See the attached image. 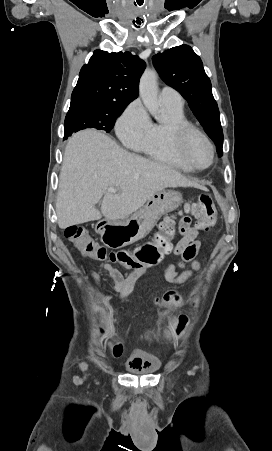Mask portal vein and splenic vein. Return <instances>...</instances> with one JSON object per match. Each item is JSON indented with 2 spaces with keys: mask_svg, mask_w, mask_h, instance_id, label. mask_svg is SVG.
<instances>
[{
  "mask_svg": "<svg viewBox=\"0 0 272 451\" xmlns=\"http://www.w3.org/2000/svg\"><path fill=\"white\" fill-rule=\"evenodd\" d=\"M108 192H118L117 188H108Z\"/></svg>",
  "mask_w": 272,
  "mask_h": 451,
  "instance_id": "portal-vein-and-splenic-vein-1",
  "label": "portal vein and splenic vein"
}]
</instances>
